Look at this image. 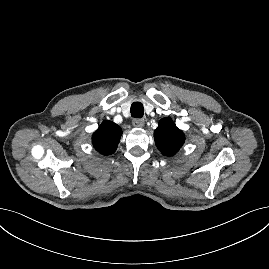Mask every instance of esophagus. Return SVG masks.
Segmentation results:
<instances>
[{"label": "esophagus", "mask_w": 269, "mask_h": 269, "mask_svg": "<svg viewBox=\"0 0 269 269\" xmlns=\"http://www.w3.org/2000/svg\"><path fill=\"white\" fill-rule=\"evenodd\" d=\"M145 124V120L144 119H134L132 121V125L136 128H142Z\"/></svg>", "instance_id": "34e87169"}]
</instances>
